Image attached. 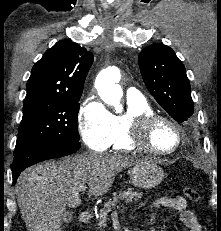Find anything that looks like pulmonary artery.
I'll use <instances>...</instances> for the list:
<instances>
[{"label": "pulmonary artery", "mask_w": 221, "mask_h": 231, "mask_svg": "<svg viewBox=\"0 0 221 231\" xmlns=\"http://www.w3.org/2000/svg\"><path fill=\"white\" fill-rule=\"evenodd\" d=\"M127 98L131 100H141L144 99L142 93L137 90L136 88H129L127 89Z\"/></svg>", "instance_id": "pulmonary-artery-1"}]
</instances>
